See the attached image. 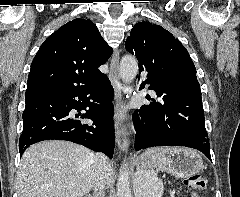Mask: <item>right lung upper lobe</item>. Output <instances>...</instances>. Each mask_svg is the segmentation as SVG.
<instances>
[{
    "label": "right lung upper lobe",
    "mask_w": 240,
    "mask_h": 197,
    "mask_svg": "<svg viewBox=\"0 0 240 197\" xmlns=\"http://www.w3.org/2000/svg\"><path fill=\"white\" fill-rule=\"evenodd\" d=\"M112 54L90 19H74L49 36L34 57L25 96L59 87L81 88L102 80L98 67Z\"/></svg>",
    "instance_id": "cb5924a9"
}]
</instances>
